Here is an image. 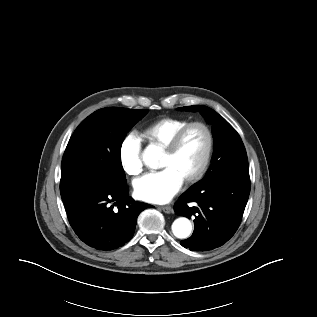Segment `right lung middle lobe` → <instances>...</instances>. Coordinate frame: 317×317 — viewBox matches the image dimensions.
I'll return each instance as SVG.
<instances>
[{"label":"right lung middle lobe","instance_id":"obj_1","mask_svg":"<svg viewBox=\"0 0 317 317\" xmlns=\"http://www.w3.org/2000/svg\"><path fill=\"white\" fill-rule=\"evenodd\" d=\"M147 112L103 108L81 122L62 159L60 193L63 200L95 180L126 181L120 159L121 145L126 134Z\"/></svg>","mask_w":317,"mask_h":317}]
</instances>
